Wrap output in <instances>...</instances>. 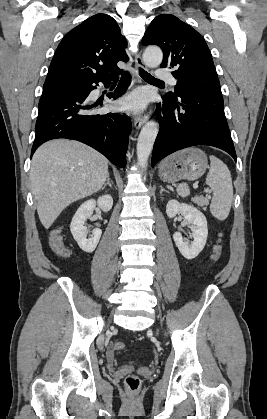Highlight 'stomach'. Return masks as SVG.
Returning <instances> with one entry per match:
<instances>
[{"label":"stomach","instance_id":"obj_1","mask_svg":"<svg viewBox=\"0 0 267 419\" xmlns=\"http://www.w3.org/2000/svg\"><path fill=\"white\" fill-rule=\"evenodd\" d=\"M208 168V159L199 148H187L167 157L160 166V178L172 183L200 178Z\"/></svg>","mask_w":267,"mask_h":419}]
</instances>
